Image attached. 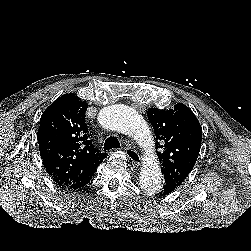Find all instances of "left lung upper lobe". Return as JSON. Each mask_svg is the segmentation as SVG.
Masks as SVG:
<instances>
[{"mask_svg":"<svg viewBox=\"0 0 251 251\" xmlns=\"http://www.w3.org/2000/svg\"><path fill=\"white\" fill-rule=\"evenodd\" d=\"M148 119L157 138L156 146L165 182L178 187L187 178L198 158L202 128L193 112L184 104L173 109H148Z\"/></svg>","mask_w":251,"mask_h":251,"instance_id":"5c2ea615","label":"left lung upper lobe"}]
</instances>
